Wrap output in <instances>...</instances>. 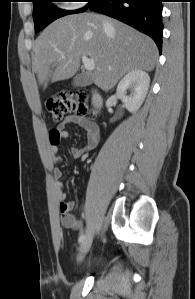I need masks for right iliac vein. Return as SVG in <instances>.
Here are the masks:
<instances>
[{
	"label": "right iliac vein",
	"instance_id": "63e3f726",
	"mask_svg": "<svg viewBox=\"0 0 195 299\" xmlns=\"http://www.w3.org/2000/svg\"><path fill=\"white\" fill-rule=\"evenodd\" d=\"M93 241V231L92 228L89 226L86 230V234L84 240L80 246V256L83 257L90 249Z\"/></svg>",
	"mask_w": 195,
	"mask_h": 299
}]
</instances>
